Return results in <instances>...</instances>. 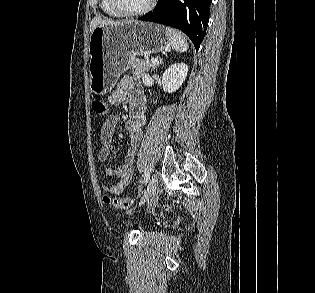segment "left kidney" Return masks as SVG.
Listing matches in <instances>:
<instances>
[{"mask_svg":"<svg viewBox=\"0 0 315 293\" xmlns=\"http://www.w3.org/2000/svg\"><path fill=\"white\" fill-rule=\"evenodd\" d=\"M187 72L188 66L185 63H176L166 69L162 76L164 91L172 93L178 90L185 81Z\"/></svg>","mask_w":315,"mask_h":293,"instance_id":"obj_1","label":"left kidney"}]
</instances>
